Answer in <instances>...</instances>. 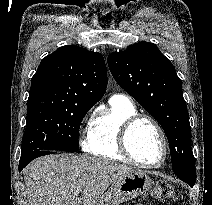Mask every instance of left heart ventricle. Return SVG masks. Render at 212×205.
<instances>
[{
  "mask_svg": "<svg viewBox=\"0 0 212 205\" xmlns=\"http://www.w3.org/2000/svg\"><path fill=\"white\" fill-rule=\"evenodd\" d=\"M129 147L133 155L144 163H157L163 155L160 136L148 121H141L133 127Z\"/></svg>",
  "mask_w": 212,
  "mask_h": 205,
  "instance_id": "obj_1",
  "label": "left heart ventricle"
}]
</instances>
